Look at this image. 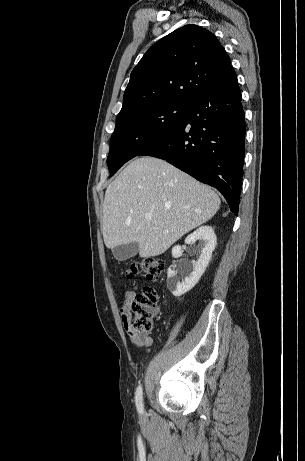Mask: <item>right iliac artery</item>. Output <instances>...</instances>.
<instances>
[{
  "mask_svg": "<svg viewBox=\"0 0 305 461\" xmlns=\"http://www.w3.org/2000/svg\"><path fill=\"white\" fill-rule=\"evenodd\" d=\"M136 407L139 413H143V398H142V386L139 385L135 394Z\"/></svg>",
  "mask_w": 305,
  "mask_h": 461,
  "instance_id": "1",
  "label": "right iliac artery"
}]
</instances>
